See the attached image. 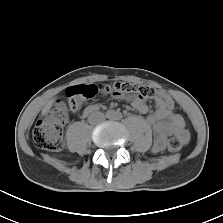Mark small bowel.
I'll return each instance as SVG.
<instances>
[{
  "mask_svg": "<svg viewBox=\"0 0 223 223\" xmlns=\"http://www.w3.org/2000/svg\"><path fill=\"white\" fill-rule=\"evenodd\" d=\"M127 100L140 113L148 112L149 108L147 104L138 97L128 96ZM99 108L98 104H91L84 109L82 115L86 117L96 112ZM147 122L155 136L153 144V151L155 153L162 152L165 149L168 136L174 135L178 137L183 144L189 141V134L185 129L183 117L176 113L175 110H167L166 105L160 98L155 99V110L147 117Z\"/></svg>",
  "mask_w": 223,
  "mask_h": 223,
  "instance_id": "obj_1",
  "label": "small bowel"
}]
</instances>
